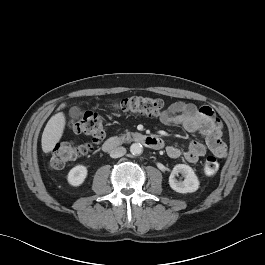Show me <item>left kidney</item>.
Wrapping results in <instances>:
<instances>
[{
    "label": "left kidney",
    "instance_id": "5707ae66",
    "mask_svg": "<svg viewBox=\"0 0 265 265\" xmlns=\"http://www.w3.org/2000/svg\"><path fill=\"white\" fill-rule=\"evenodd\" d=\"M178 173H181L185 177L183 181H178L175 178V175H178ZM169 185L178 193H192L198 190L199 180L189 165L177 164L169 177Z\"/></svg>",
    "mask_w": 265,
    "mask_h": 265
}]
</instances>
